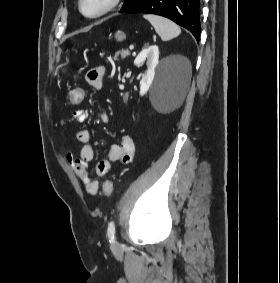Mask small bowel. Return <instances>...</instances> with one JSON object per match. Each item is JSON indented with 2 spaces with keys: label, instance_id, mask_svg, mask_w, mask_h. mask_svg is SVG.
<instances>
[{
  "label": "small bowel",
  "instance_id": "1",
  "mask_svg": "<svg viewBox=\"0 0 280 283\" xmlns=\"http://www.w3.org/2000/svg\"><path fill=\"white\" fill-rule=\"evenodd\" d=\"M104 77L105 69L99 67L87 74V82L91 87L100 89L103 85ZM88 116L89 113L87 110L78 109L73 112L70 118H64L61 121V125L66 126L70 122L80 123L87 120ZM101 119L107 122L109 120L108 114L104 112L101 115ZM75 137L82 144L80 155L77 157L71 152H68L65 160L82 181L86 192L90 195H95L99 190V181L92 177L88 168V162L94 158V149L89 144L90 133L87 130L80 129L76 131ZM134 154L135 145L132 138L128 135H122L120 143L111 146L107 158L97 162L95 167L96 175L98 177L106 176L110 172L111 165L114 162H120L122 164L130 163L133 160Z\"/></svg>",
  "mask_w": 280,
  "mask_h": 283
}]
</instances>
